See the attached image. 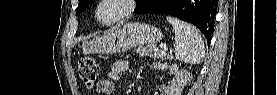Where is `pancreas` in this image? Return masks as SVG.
Masks as SVG:
<instances>
[{"mask_svg":"<svg viewBox=\"0 0 277 95\" xmlns=\"http://www.w3.org/2000/svg\"><path fill=\"white\" fill-rule=\"evenodd\" d=\"M135 52L139 54V56L145 57L149 56L153 58L154 60L156 59H172L173 56L169 53H167L165 50H158L154 48V45H147L145 47H138Z\"/></svg>","mask_w":277,"mask_h":95,"instance_id":"cf45deb5","label":"pancreas"}]
</instances>
